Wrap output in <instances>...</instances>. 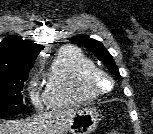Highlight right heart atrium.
Masks as SVG:
<instances>
[{
  "label": "right heart atrium",
  "instance_id": "1",
  "mask_svg": "<svg viewBox=\"0 0 153 134\" xmlns=\"http://www.w3.org/2000/svg\"><path fill=\"white\" fill-rule=\"evenodd\" d=\"M28 91H29V98H30L32 104L35 107H40L42 100H41L39 92L36 89V82L35 81H31Z\"/></svg>",
  "mask_w": 153,
  "mask_h": 134
}]
</instances>
